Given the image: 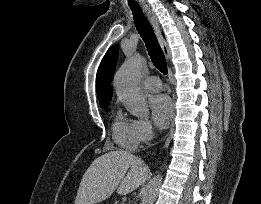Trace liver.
Returning <instances> with one entry per match:
<instances>
[{
	"label": "liver",
	"mask_w": 261,
	"mask_h": 204,
	"mask_svg": "<svg viewBox=\"0 0 261 204\" xmlns=\"http://www.w3.org/2000/svg\"><path fill=\"white\" fill-rule=\"evenodd\" d=\"M129 170V171H128ZM148 177L141 158L127 151H110L96 158L84 173L74 204H96L107 199L116 189L126 195Z\"/></svg>",
	"instance_id": "obj_1"
}]
</instances>
